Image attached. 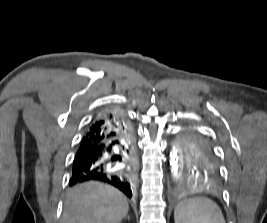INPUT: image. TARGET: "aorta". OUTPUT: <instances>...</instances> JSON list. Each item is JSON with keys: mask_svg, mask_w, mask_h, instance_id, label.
<instances>
[{"mask_svg": "<svg viewBox=\"0 0 267 223\" xmlns=\"http://www.w3.org/2000/svg\"><path fill=\"white\" fill-rule=\"evenodd\" d=\"M170 166L173 178H177L180 174L181 158L177 148L173 147L170 152Z\"/></svg>", "mask_w": 267, "mask_h": 223, "instance_id": "obj_1", "label": "aorta"}]
</instances>
